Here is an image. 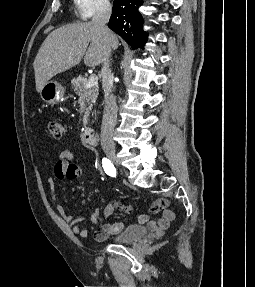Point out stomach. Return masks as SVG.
I'll use <instances>...</instances> for the list:
<instances>
[{"label":"stomach","instance_id":"0dacf381","mask_svg":"<svg viewBox=\"0 0 255 287\" xmlns=\"http://www.w3.org/2000/svg\"><path fill=\"white\" fill-rule=\"evenodd\" d=\"M65 94V88L61 86V84H58V82H47L45 86H43L40 96L46 104H49V106H55V104H58L60 100H62L63 96Z\"/></svg>","mask_w":255,"mask_h":287}]
</instances>
